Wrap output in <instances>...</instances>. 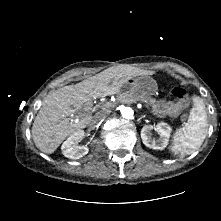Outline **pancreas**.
Listing matches in <instances>:
<instances>
[{
    "mask_svg": "<svg viewBox=\"0 0 221 221\" xmlns=\"http://www.w3.org/2000/svg\"><path fill=\"white\" fill-rule=\"evenodd\" d=\"M122 99L129 102L142 101L148 105H153L155 103V99L150 96H135L132 93L121 96Z\"/></svg>",
    "mask_w": 221,
    "mask_h": 221,
    "instance_id": "cf45deb5",
    "label": "pancreas"
}]
</instances>
